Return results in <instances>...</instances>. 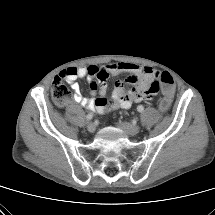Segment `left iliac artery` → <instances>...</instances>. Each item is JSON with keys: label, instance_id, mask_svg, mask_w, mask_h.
<instances>
[{"label": "left iliac artery", "instance_id": "left-iliac-artery-1", "mask_svg": "<svg viewBox=\"0 0 215 215\" xmlns=\"http://www.w3.org/2000/svg\"><path fill=\"white\" fill-rule=\"evenodd\" d=\"M137 111H138V112H143V111H144V107H143L142 105H139V106L137 107Z\"/></svg>", "mask_w": 215, "mask_h": 215}]
</instances>
